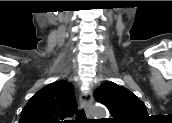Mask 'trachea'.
<instances>
[{
  "label": "trachea",
  "instance_id": "obj_1",
  "mask_svg": "<svg viewBox=\"0 0 172 123\" xmlns=\"http://www.w3.org/2000/svg\"><path fill=\"white\" fill-rule=\"evenodd\" d=\"M82 115H83V112L81 114L78 113L76 119H79Z\"/></svg>",
  "mask_w": 172,
  "mask_h": 123
}]
</instances>
